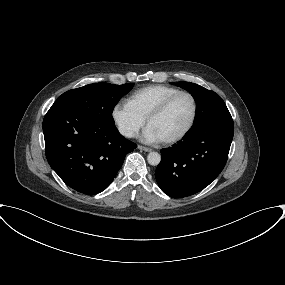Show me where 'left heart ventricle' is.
Masks as SVG:
<instances>
[{
	"mask_svg": "<svg viewBox=\"0 0 285 285\" xmlns=\"http://www.w3.org/2000/svg\"><path fill=\"white\" fill-rule=\"evenodd\" d=\"M193 106L189 97H178L159 117L152 120L150 127L161 139L167 140L182 132L192 116Z\"/></svg>",
	"mask_w": 285,
	"mask_h": 285,
	"instance_id": "obj_1",
	"label": "left heart ventricle"
}]
</instances>
